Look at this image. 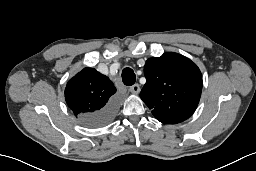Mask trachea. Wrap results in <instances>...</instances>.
Returning <instances> with one entry per match:
<instances>
[{
  "instance_id": "obj_1",
  "label": "trachea",
  "mask_w": 256,
  "mask_h": 171,
  "mask_svg": "<svg viewBox=\"0 0 256 171\" xmlns=\"http://www.w3.org/2000/svg\"><path fill=\"white\" fill-rule=\"evenodd\" d=\"M122 81L126 86H131L135 83L136 75L131 68L126 67L122 70Z\"/></svg>"
}]
</instances>
